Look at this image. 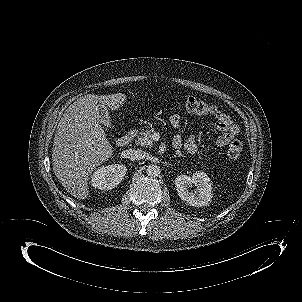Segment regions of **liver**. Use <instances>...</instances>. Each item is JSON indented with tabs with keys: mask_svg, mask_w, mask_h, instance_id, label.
<instances>
[{
	"mask_svg": "<svg viewBox=\"0 0 302 302\" xmlns=\"http://www.w3.org/2000/svg\"><path fill=\"white\" fill-rule=\"evenodd\" d=\"M125 101L122 93L87 94L73 102L61 118L54 137L52 166L59 182L73 197H88L89 176L113 153L100 125L99 108L117 110Z\"/></svg>",
	"mask_w": 302,
	"mask_h": 302,
	"instance_id": "6515ba94",
	"label": "liver"
}]
</instances>
